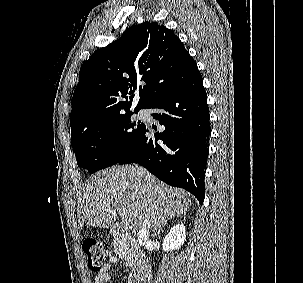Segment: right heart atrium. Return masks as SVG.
I'll return each mask as SVG.
<instances>
[{
    "label": "right heart atrium",
    "mask_w": 303,
    "mask_h": 283,
    "mask_svg": "<svg viewBox=\"0 0 303 283\" xmlns=\"http://www.w3.org/2000/svg\"><path fill=\"white\" fill-rule=\"evenodd\" d=\"M109 141L111 142V141H112V138H110Z\"/></svg>",
    "instance_id": "obj_1"
}]
</instances>
